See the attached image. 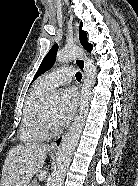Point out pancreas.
Segmentation results:
<instances>
[{
	"instance_id": "pancreas-1",
	"label": "pancreas",
	"mask_w": 138,
	"mask_h": 186,
	"mask_svg": "<svg viewBox=\"0 0 138 186\" xmlns=\"http://www.w3.org/2000/svg\"><path fill=\"white\" fill-rule=\"evenodd\" d=\"M28 186H38V183L36 180H34Z\"/></svg>"
}]
</instances>
